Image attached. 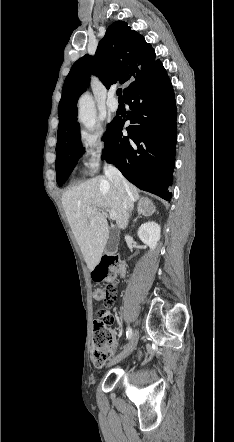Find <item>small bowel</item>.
Masks as SVG:
<instances>
[{
	"mask_svg": "<svg viewBox=\"0 0 234 442\" xmlns=\"http://www.w3.org/2000/svg\"><path fill=\"white\" fill-rule=\"evenodd\" d=\"M115 317L113 314H101L98 319H94V328H113Z\"/></svg>",
	"mask_w": 234,
	"mask_h": 442,
	"instance_id": "c3829d8e",
	"label": "small bowel"
}]
</instances>
